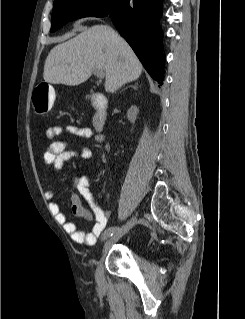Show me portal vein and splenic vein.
<instances>
[{"label": "portal vein and splenic vein", "mask_w": 245, "mask_h": 319, "mask_svg": "<svg viewBox=\"0 0 245 319\" xmlns=\"http://www.w3.org/2000/svg\"><path fill=\"white\" fill-rule=\"evenodd\" d=\"M94 74L99 78V79H103L105 74L103 72V70H94Z\"/></svg>", "instance_id": "1"}]
</instances>
